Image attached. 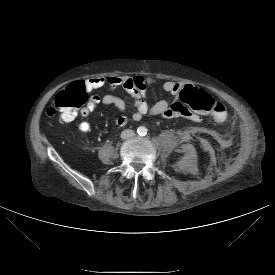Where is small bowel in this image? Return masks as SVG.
<instances>
[{
	"mask_svg": "<svg viewBox=\"0 0 275 275\" xmlns=\"http://www.w3.org/2000/svg\"><path fill=\"white\" fill-rule=\"evenodd\" d=\"M156 83V79L142 75L137 76H109L95 77L86 80L84 83L88 91L105 88L112 92L122 87L133 98L135 111L128 117L124 114L126 110L125 101L111 93L105 95L93 94L89 97L88 102L81 112L82 116L89 115L99 104L114 106L121 114L116 118L117 126H125L130 121H139L145 115L158 116L172 119L176 117H186L192 121H199L196 114L189 111L180 101L179 94L183 84L176 81H166L163 83V89L174 97L172 102L161 100L154 105L149 106L147 102V87ZM72 120V119H71ZM70 121V120H68ZM77 128L82 132H89L91 125L87 121H76Z\"/></svg>",
	"mask_w": 275,
	"mask_h": 275,
	"instance_id": "small-bowel-1",
	"label": "small bowel"
}]
</instances>
